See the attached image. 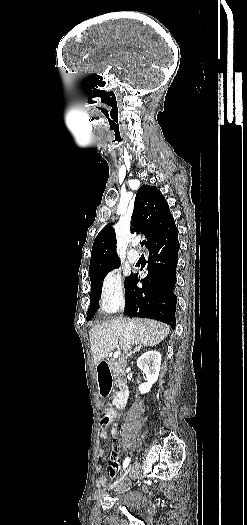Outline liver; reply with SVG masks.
I'll use <instances>...</instances> for the list:
<instances>
[{"mask_svg": "<svg viewBox=\"0 0 247 525\" xmlns=\"http://www.w3.org/2000/svg\"><path fill=\"white\" fill-rule=\"evenodd\" d=\"M169 333L168 325L152 319L118 317L93 325L90 329V343L94 365L97 367L115 349L127 353L131 345L156 347Z\"/></svg>", "mask_w": 247, "mask_h": 525, "instance_id": "1", "label": "liver"}]
</instances>
